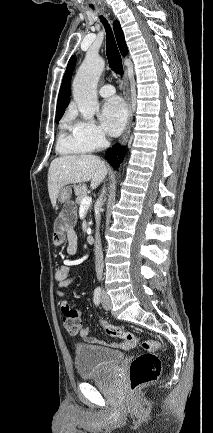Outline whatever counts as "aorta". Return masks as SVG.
<instances>
[{"mask_svg":"<svg viewBox=\"0 0 213 433\" xmlns=\"http://www.w3.org/2000/svg\"><path fill=\"white\" fill-rule=\"evenodd\" d=\"M105 61L96 54L87 53L73 81V98L85 120H92L99 110L97 83Z\"/></svg>","mask_w":213,"mask_h":433,"instance_id":"762f6f07","label":"aorta"}]
</instances>
